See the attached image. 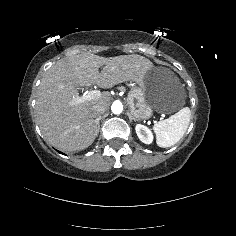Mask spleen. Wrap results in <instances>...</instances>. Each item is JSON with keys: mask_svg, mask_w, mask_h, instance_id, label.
I'll use <instances>...</instances> for the list:
<instances>
[{"mask_svg": "<svg viewBox=\"0 0 236 236\" xmlns=\"http://www.w3.org/2000/svg\"><path fill=\"white\" fill-rule=\"evenodd\" d=\"M191 117L189 107H184L168 119L161 120L154 125L156 142L159 147H170L176 144L186 132Z\"/></svg>", "mask_w": 236, "mask_h": 236, "instance_id": "obj_1", "label": "spleen"}]
</instances>
